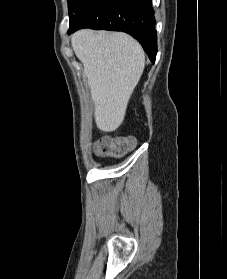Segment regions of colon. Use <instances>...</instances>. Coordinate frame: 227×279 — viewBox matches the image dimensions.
<instances>
[{
    "mask_svg": "<svg viewBox=\"0 0 227 279\" xmlns=\"http://www.w3.org/2000/svg\"><path fill=\"white\" fill-rule=\"evenodd\" d=\"M135 145V138L122 141L98 140L94 146V154L98 157L123 156Z\"/></svg>",
    "mask_w": 227,
    "mask_h": 279,
    "instance_id": "colon-1",
    "label": "colon"
}]
</instances>
